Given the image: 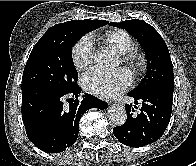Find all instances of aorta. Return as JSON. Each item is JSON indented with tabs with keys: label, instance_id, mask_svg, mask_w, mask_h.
<instances>
[{
	"label": "aorta",
	"instance_id": "obj_1",
	"mask_svg": "<svg viewBox=\"0 0 196 166\" xmlns=\"http://www.w3.org/2000/svg\"><path fill=\"white\" fill-rule=\"evenodd\" d=\"M94 61L103 68H114L117 64L115 55L107 49L98 50L95 53ZM108 117L116 126H121L127 119L126 110L123 106L113 105L108 109Z\"/></svg>",
	"mask_w": 196,
	"mask_h": 166
}]
</instances>
